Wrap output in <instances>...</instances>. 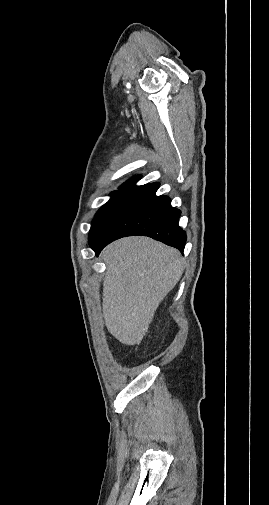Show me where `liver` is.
<instances>
[{
	"label": "liver",
	"mask_w": 269,
	"mask_h": 505,
	"mask_svg": "<svg viewBox=\"0 0 269 505\" xmlns=\"http://www.w3.org/2000/svg\"><path fill=\"white\" fill-rule=\"evenodd\" d=\"M103 316L108 331L125 345L139 344L163 298L183 273L179 251L148 237H126L102 252Z\"/></svg>",
	"instance_id": "obj_1"
}]
</instances>
